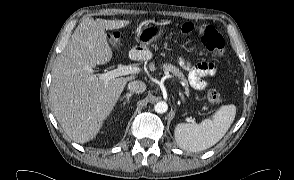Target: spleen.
Here are the masks:
<instances>
[{
	"mask_svg": "<svg viewBox=\"0 0 294 180\" xmlns=\"http://www.w3.org/2000/svg\"><path fill=\"white\" fill-rule=\"evenodd\" d=\"M234 117V106L224 105L200 124L179 123L174 130L176 142L181 148L191 151L210 148L224 136Z\"/></svg>",
	"mask_w": 294,
	"mask_h": 180,
	"instance_id": "1",
	"label": "spleen"
}]
</instances>
